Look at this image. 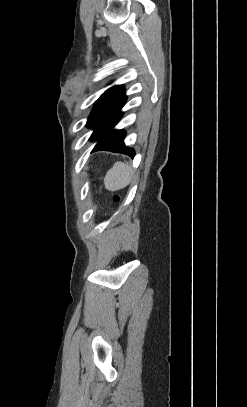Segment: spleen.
Wrapping results in <instances>:
<instances>
[{
	"instance_id": "3e777b00",
	"label": "spleen",
	"mask_w": 247,
	"mask_h": 407,
	"mask_svg": "<svg viewBox=\"0 0 247 407\" xmlns=\"http://www.w3.org/2000/svg\"><path fill=\"white\" fill-rule=\"evenodd\" d=\"M133 178V172L126 162H116L104 179L107 190L116 191L129 185Z\"/></svg>"
}]
</instances>
